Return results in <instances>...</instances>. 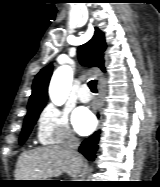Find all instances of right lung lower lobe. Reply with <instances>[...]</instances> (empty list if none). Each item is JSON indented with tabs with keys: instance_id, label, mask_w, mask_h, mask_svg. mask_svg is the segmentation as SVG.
I'll use <instances>...</instances> for the list:
<instances>
[{
	"instance_id": "right-lung-lower-lobe-1",
	"label": "right lung lower lobe",
	"mask_w": 160,
	"mask_h": 187,
	"mask_svg": "<svg viewBox=\"0 0 160 187\" xmlns=\"http://www.w3.org/2000/svg\"><path fill=\"white\" fill-rule=\"evenodd\" d=\"M100 132L96 131L89 138L85 139L79 147V152L82 153L88 160L93 161L98 150V142ZM76 186H83L82 184Z\"/></svg>"
}]
</instances>
